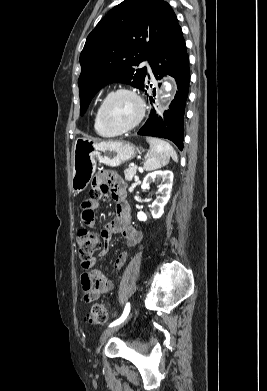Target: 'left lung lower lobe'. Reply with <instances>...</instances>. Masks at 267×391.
I'll use <instances>...</instances> for the list:
<instances>
[{
	"mask_svg": "<svg viewBox=\"0 0 267 391\" xmlns=\"http://www.w3.org/2000/svg\"><path fill=\"white\" fill-rule=\"evenodd\" d=\"M149 62L155 78L160 80L166 74L174 77L178 91L169 106V110L164 112V118L157 117L155 111L152 110L149 119L139 130L138 134L167 138L182 150L184 112L188 96L190 72L189 57L180 26L154 51ZM145 88H148V85L145 84L141 90L146 93ZM150 100L154 101L152 97H150Z\"/></svg>",
	"mask_w": 267,
	"mask_h": 391,
	"instance_id": "left-lung-lower-lobe-1",
	"label": "left lung lower lobe"
}]
</instances>
